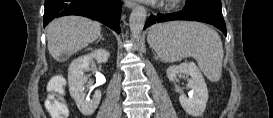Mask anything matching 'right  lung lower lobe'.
Here are the masks:
<instances>
[{"label":"right lung lower lobe","instance_id":"98d812e1","mask_svg":"<svg viewBox=\"0 0 273 118\" xmlns=\"http://www.w3.org/2000/svg\"><path fill=\"white\" fill-rule=\"evenodd\" d=\"M121 7L117 0H45L44 27L54 18L79 15L100 21L119 34Z\"/></svg>","mask_w":273,"mask_h":118}]
</instances>
